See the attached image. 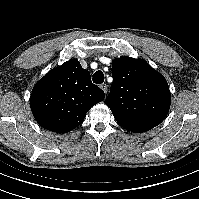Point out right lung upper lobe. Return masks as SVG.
Here are the masks:
<instances>
[{
    "mask_svg": "<svg viewBox=\"0 0 199 199\" xmlns=\"http://www.w3.org/2000/svg\"><path fill=\"white\" fill-rule=\"evenodd\" d=\"M104 97L105 93L91 82L90 73L78 60L70 59L36 83L30 106L40 126L66 133L79 126L86 112Z\"/></svg>",
    "mask_w": 199,
    "mask_h": 199,
    "instance_id": "right-lung-upper-lobe-1",
    "label": "right lung upper lobe"
}]
</instances>
